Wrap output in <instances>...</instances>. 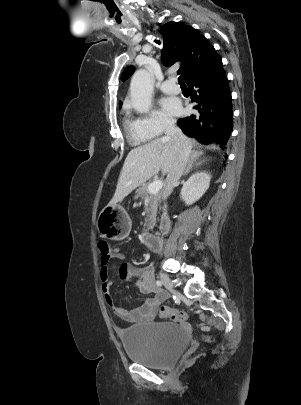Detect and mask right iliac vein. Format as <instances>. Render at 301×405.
<instances>
[{"label":"right iliac vein","mask_w":301,"mask_h":405,"mask_svg":"<svg viewBox=\"0 0 301 405\" xmlns=\"http://www.w3.org/2000/svg\"><path fill=\"white\" fill-rule=\"evenodd\" d=\"M160 279L162 281V283L165 285L166 288H168L170 291L177 293V291L174 289L173 283L170 279V277L165 274L164 272H160Z\"/></svg>","instance_id":"63e3f726"}]
</instances>
